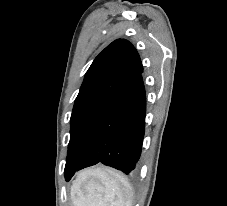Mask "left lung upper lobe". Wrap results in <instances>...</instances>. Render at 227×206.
Masks as SVG:
<instances>
[{
	"label": "left lung upper lobe",
	"instance_id": "1",
	"mask_svg": "<svg viewBox=\"0 0 227 206\" xmlns=\"http://www.w3.org/2000/svg\"><path fill=\"white\" fill-rule=\"evenodd\" d=\"M142 71L137 50L125 39L113 41L94 59L72 110L65 170L81 161L108 104Z\"/></svg>",
	"mask_w": 227,
	"mask_h": 206
}]
</instances>
